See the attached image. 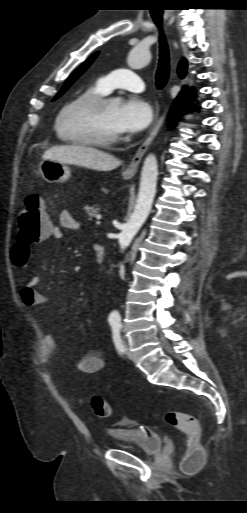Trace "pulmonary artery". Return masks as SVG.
Returning <instances> with one entry per match:
<instances>
[{"label":"pulmonary artery","instance_id":"e3ab8cb5","mask_svg":"<svg viewBox=\"0 0 247 513\" xmlns=\"http://www.w3.org/2000/svg\"><path fill=\"white\" fill-rule=\"evenodd\" d=\"M98 85L108 93L116 88H123L133 92H142L145 84L142 79L130 69H118L102 76L98 80Z\"/></svg>","mask_w":247,"mask_h":513}]
</instances>
